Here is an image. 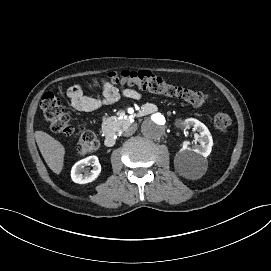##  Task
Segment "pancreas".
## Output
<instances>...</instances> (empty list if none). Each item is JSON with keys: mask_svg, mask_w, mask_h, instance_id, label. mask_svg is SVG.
I'll return each mask as SVG.
<instances>
[{"mask_svg": "<svg viewBox=\"0 0 271 271\" xmlns=\"http://www.w3.org/2000/svg\"><path fill=\"white\" fill-rule=\"evenodd\" d=\"M126 124H127V121L124 118L117 120L115 117L112 116L103 121L102 128L104 131H108L109 128L113 127L116 131H119Z\"/></svg>", "mask_w": 271, "mask_h": 271, "instance_id": "cf45deb5", "label": "pancreas"}]
</instances>
